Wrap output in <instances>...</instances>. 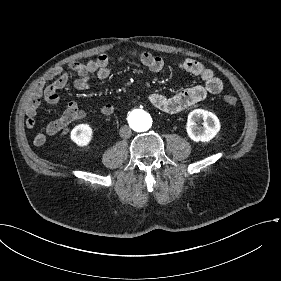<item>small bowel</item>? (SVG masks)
I'll list each match as a JSON object with an SVG mask.
<instances>
[{
  "mask_svg": "<svg viewBox=\"0 0 281 281\" xmlns=\"http://www.w3.org/2000/svg\"><path fill=\"white\" fill-rule=\"evenodd\" d=\"M127 58H134L154 73L161 72L165 67L164 60L156 55L127 50L124 56L117 59L118 63L126 61ZM110 58L106 54H100L95 60L88 62L74 61L69 68L78 76L74 81V87L78 90H85L89 86V78L96 75L99 79H106L110 75ZM180 71L199 77L202 83L185 89L175 95L166 96L157 92L149 94V103L159 111L166 114H177L190 108L209 95H217L223 90V81L215 75L213 70L203 64L192 60L183 59L178 62ZM47 82L49 84L45 85ZM69 82V74L61 67L50 69L44 79L36 87V91L26 107V126L28 129H35L37 109L44 99L51 105H58L62 102L58 91L64 88ZM115 106L106 103L99 109L100 113L110 116L115 113ZM85 111L74 101L66 103L63 114L56 120L47 124L44 133H36L33 142L36 146H42L46 141V135L54 136L63 131L72 122L85 117Z\"/></svg>",
  "mask_w": 281,
  "mask_h": 281,
  "instance_id": "small-bowel-1",
  "label": "small bowel"
}]
</instances>
